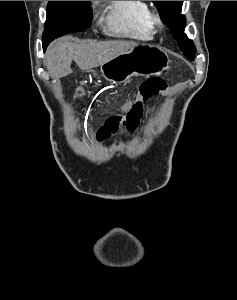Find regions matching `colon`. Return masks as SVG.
Masks as SVG:
<instances>
[{
    "instance_id": "colon-1",
    "label": "colon",
    "mask_w": 237,
    "mask_h": 300,
    "mask_svg": "<svg viewBox=\"0 0 237 300\" xmlns=\"http://www.w3.org/2000/svg\"><path fill=\"white\" fill-rule=\"evenodd\" d=\"M167 89V83L163 78L152 77L143 81L138 89L139 98L129 108L126 116L113 115L107 118L104 125L100 127L97 137L99 141H104L111 135L118 132L121 128H125L128 131H134L138 126L139 120L143 113L142 101H146L151 97L163 94ZM83 89H77V96L83 95Z\"/></svg>"
}]
</instances>
